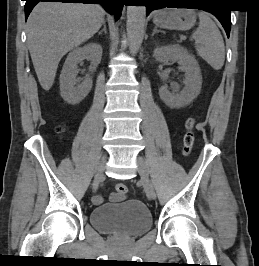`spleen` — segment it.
I'll list each match as a JSON object with an SVG mask.
<instances>
[{"mask_svg":"<svg viewBox=\"0 0 259 266\" xmlns=\"http://www.w3.org/2000/svg\"><path fill=\"white\" fill-rule=\"evenodd\" d=\"M199 26L192 34L197 54L214 70H220L225 61V46L222 35L206 12H198Z\"/></svg>","mask_w":259,"mask_h":266,"instance_id":"spleen-1","label":"spleen"}]
</instances>
